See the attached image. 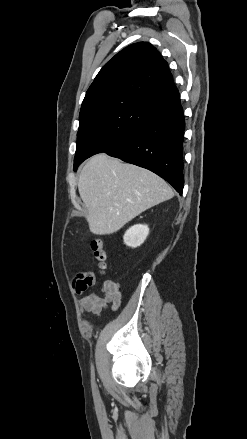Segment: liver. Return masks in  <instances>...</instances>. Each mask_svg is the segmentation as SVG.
<instances>
[{
  "label": "liver",
  "instance_id": "1",
  "mask_svg": "<svg viewBox=\"0 0 247 439\" xmlns=\"http://www.w3.org/2000/svg\"><path fill=\"white\" fill-rule=\"evenodd\" d=\"M78 190L89 228L97 235L117 232L140 213L174 196L169 184L153 172L105 153L84 165Z\"/></svg>",
  "mask_w": 247,
  "mask_h": 439
}]
</instances>
